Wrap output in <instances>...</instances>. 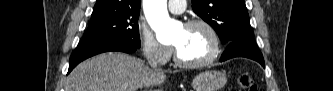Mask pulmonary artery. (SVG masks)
I'll list each match as a JSON object with an SVG mask.
<instances>
[{"instance_id":"e3ab8cb5","label":"pulmonary artery","mask_w":333,"mask_h":91,"mask_svg":"<svg viewBox=\"0 0 333 91\" xmlns=\"http://www.w3.org/2000/svg\"><path fill=\"white\" fill-rule=\"evenodd\" d=\"M186 7L185 1H169L168 9L171 13L180 14L184 12Z\"/></svg>"}]
</instances>
